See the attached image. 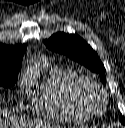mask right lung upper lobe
Masks as SVG:
<instances>
[{
	"label": "right lung upper lobe",
	"mask_w": 125,
	"mask_h": 128,
	"mask_svg": "<svg viewBox=\"0 0 125 128\" xmlns=\"http://www.w3.org/2000/svg\"><path fill=\"white\" fill-rule=\"evenodd\" d=\"M26 44L8 46L0 43V68L20 70Z\"/></svg>",
	"instance_id": "cb5924a9"
}]
</instances>
